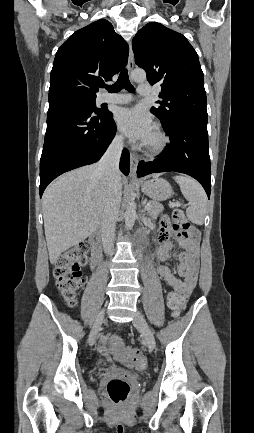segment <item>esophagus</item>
Masks as SVG:
<instances>
[{"label":"esophagus","mask_w":254,"mask_h":433,"mask_svg":"<svg viewBox=\"0 0 254 433\" xmlns=\"http://www.w3.org/2000/svg\"><path fill=\"white\" fill-rule=\"evenodd\" d=\"M128 70L131 71L134 67V55L132 51V46L130 45L129 57H128ZM138 166V158L134 153H130V176L132 178L136 177V170Z\"/></svg>","instance_id":"obj_1"}]
</instances>
